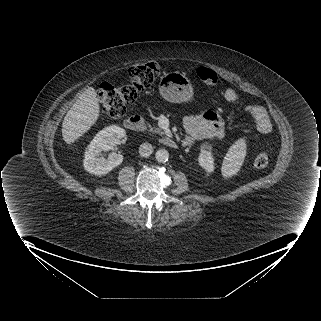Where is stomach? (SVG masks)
<instances>
[{
  "label": "stomach",
  "instance_id": "1",
  "mask_svg": "<svg viewBox=\"0 0 321 321\" xmlns=\"http://www.w3.org/2000/svg\"><path fill=\"white\" fill-rule=\"evenodd\" d=\"M160 95L172 103L191 101L194 96L193 88L188 78L180 72L166 73L160 80Z\"/></svg>",
  "mask_w": 321,
  "mask_h": 321
}]
</instances>
